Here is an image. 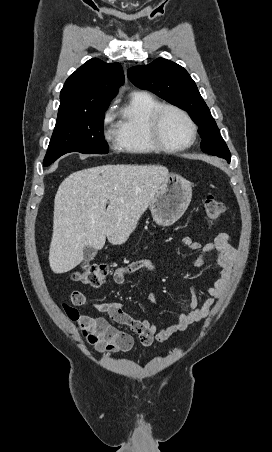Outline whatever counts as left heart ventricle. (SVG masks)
I'll return each instance as SVG.
<instances>
[{"mask_svg": "<svg viewBox=\"0 0 272 452\" xmlns=\"http://www.w3.org/2000/svg\"><path fill=\"white\" fill-rule=\"evenodd\" d=\"M163 139L170 145H179L190 138V128L186 120L177 112L168 110L161 120Z\"/></svg>", "mask_w": 272, "mask_h": 452, "instance_id": "b2bd125f", "label": "left heart ventricle"}]
</instances>
